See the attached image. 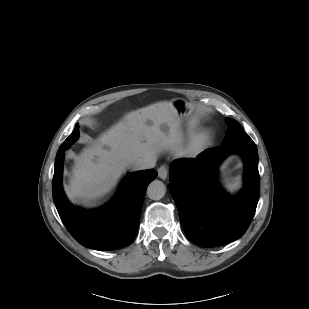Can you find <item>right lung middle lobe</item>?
Returning a JSON list of instances; mask_svg holds the SVG:
<instances>
[{
  "label": "right lung middle lobe",
  "mask_w": 309,
  "mask_h": 309,
  "mask_svg": "<svg viewBox=\"0 0 309 309\" xmlns=\"http://www.w3.org/2000/svg\"><path fill=\"white\" fill-rule=\"evenodd\" d=\"M79 137L78 124L75 126V130L71 133V135L62 143L58 152L60 150H65L69 148Z\"/></svg>",
  "instance_id": "dd1d6c3e"
}]
</instances>
